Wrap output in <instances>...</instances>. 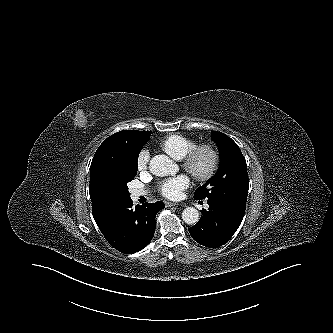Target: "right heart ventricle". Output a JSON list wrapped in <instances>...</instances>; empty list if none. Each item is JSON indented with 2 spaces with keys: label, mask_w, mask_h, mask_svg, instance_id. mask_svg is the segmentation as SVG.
I'll list each match as a JSON object with an SVG mask.
<instances>
[{
  "label": "right heart ventricle",
  "mask_w": 333,
  "mask_h": 333,
  "mask_svg": "<svg viewBox=\"0 0 333 333\" xmlns=\"http://www.w3.org/2000/svg\"><path fill=\"white\" fill-rule=\"evenodd\" d=\"M196 146V142L182 135H169L159 144L161 150L175 160H182Z\"/></svg>",
  "instance_id": "right-heart-ventricle-1"
}]
</instances>
